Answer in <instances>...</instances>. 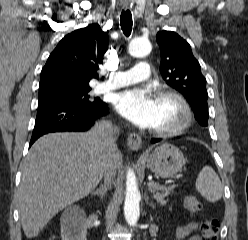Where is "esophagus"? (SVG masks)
<instances>
[{"mask_svg":"<svg viewBox=\"0 0 248 240\" xmlns=\"http://www.w3.org/2000/svg\"><path fill=\"white\" fill-rule=\"evenodd\" d=\"M129 4L126 3L124 5V8L127 9L129 8ZM127 145L129 146V148L133 151H138L141 148L142 145V139L141 137L136 134V133H130L127 136Z\"/></svg>","mask_w":248,"mask_h":240,"instance_id":"obj_1","label":"esophagus"}]
</instances>
